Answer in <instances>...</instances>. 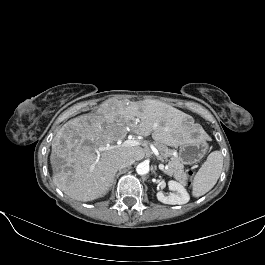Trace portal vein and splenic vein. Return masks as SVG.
Wrapping results in <instances>:
<instances>
[{
    "label": "portal vein and splenic vein",
    "instance_id": "obj_1",
    "mask_svg": "<svg viewBox=\"0 0 265 265\" xmlns=\"http://www.w3.org/2000/svg\"><path fill=\"white\" fill-rule=\"evenodd\" d=\"M140 142L138 140H135L134 138H128L125 141L119 140L117 142V145L114 146H110L107 145L105 147H99L98 149H96V153L99 155L100 152L105 151V150H109V149H113V148H117V147H133V146H139ZM166 167L164 166V164H159V169L160 170H164Z\"/></svg>",
    "mask_w": 265,
    "mask_h": 265
}]
</instances>
